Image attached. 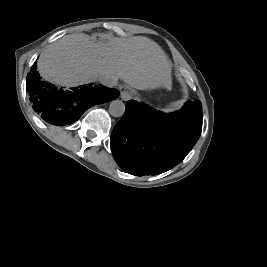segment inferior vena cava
<instances>
[{
	"mask_svg": "<svg viewBox=\"0 0 267 267\" xmlns=\"http://www.w3.org/2000/svg\"><path fill=\"white\" fill-rule=\"evenodd\" d=\"M98 79H99L101 84H103L107 87H114L118 83V79L115 76H112L109 74L100 75Z\"/></svg>",
	"mask_w": 267,
	"mask_h": 267,
	"instance_id": "1",
	"label": "inferior vena cava"
}]
</instances>
